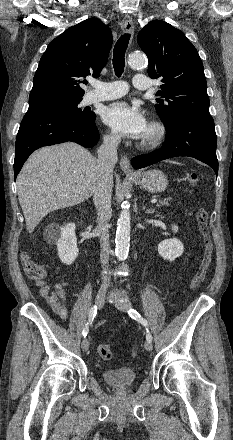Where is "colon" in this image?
I'll return each mask as SVG.
<instances>
[{
	"label": "colon",
	"mask_w": 233,
	"mask_h": 440,
	"mask_svg": "<svg viewBox=\"0 0 233 440\" xmlns=\"http://www.w3.org/2000/svg\"><path fill=\"white\" fill-rule=\"evenodd\" d=\"M200 182V177L198 173L192 172L189 175V183L193 186H197ZM196 220L199 228V232L203 238L204 253L202 257L201 264L197 269L192 281L190 283L191 289H196L204 281L209 267L212 262L214 245L211 239L210 230L208 227V212L204 207H200L196 214ZM21 262L26 276L37 282H43L45 278L44 268L33 261L27 253L21 255ZM98 354L104 360H111L113 358L112 348L108 344H100L98 346ZM136 354V351H134Z\"/></svg>",
	"instance_id": "1"
}]
</instances>
